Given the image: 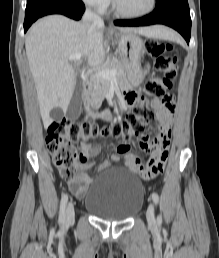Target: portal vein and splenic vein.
<instances>
[{"label": "portal vein and splenic vein", "instance_id": "portal-vein-and-splenic-vein-1", "mask_svg": "<svg viewBox=\"0 0 219 258\" xmlns=\"http://www.w3.org/2000/svg\"><path fill=\"white\" fill-rule=\"evenodd\" d=\"M82 56H83L82 54H77V55L70 56L69 59L70 60H75L76 62H79L81 60ZM116 74H117V71L115 69H102V70L98 71L95 74V76L96 77H101V78H104V79H109L111 77L116 76Z\"/></svg>", "mask_w": 219, "mask_h": 258}]
</instances>
